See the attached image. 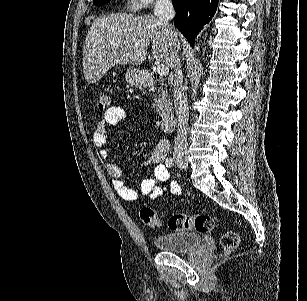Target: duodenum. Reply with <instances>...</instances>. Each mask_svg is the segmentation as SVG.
Listing matches in <instances>:
<instances>
[{
	"mask_svg": "<svg viewBox=\"0 0 307 301\" xmlns=\"http://www.w3.org/2000/svg\"><path fill=\"white\" fill-rule=\"evenodd\" d=\"M143 80L146 84H149V85L158 83L156 80H154L150 76H144ZM175 124H176V116H175L174 111L172 109L163 110L161 113V118H160L161 128L165 132H170L174 129Z\"/></svg>",
	"mask_w": 307,
	"mask_h": 301,
	"instance_id": "obj_1",
	"label": "duodenum"
}]
</instances>
